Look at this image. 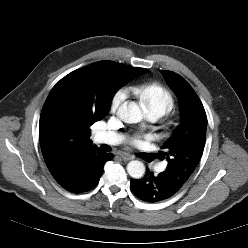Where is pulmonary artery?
Wrapping results in <instances>:
<instances>
[{
	"mask_svg": "<svg viewBox=\"0 0 248 248\" xmlns=\"http://www.w3.org/2000/svg\"><path fill=\"white\" fill-rule=\"evenodd\" d=\"M149 118L152 121L157 120L159 117L153 114L149 115ZM94 141L96 143H104V144H118L122 141V136L118 133H114V132H97L94 136ZM165 165H161L159 167V170H164L165 169Z\"/></svg>",
	"mask_w": 248,
	"mask_h": 248,
	"instance_id": "obj_1",
	"label": "pulmonary artery"
}]
</instances>
